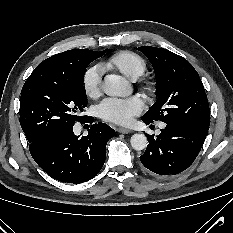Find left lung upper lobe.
<instances>
[{"mask_svg": "<svg viewBox=\"0 0 233 233\" xmlns=\"http://www.w3.org/2000/svg\"><path fill=\"white\" fill-rule=\"evenodd\" d=\"M153 64L158 78L157 101L142 117L153 123H189L209 129L207 95L194 67L183 57L162 48H138Z\"/></svg>", "mask_w": 233, "mask_h": 233, "instance_id": "obj_1", "label": "left lung upper lobe"}]
</instances>
